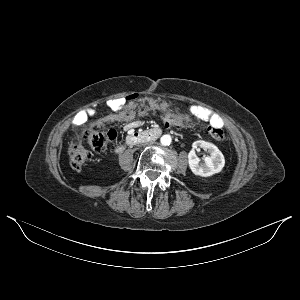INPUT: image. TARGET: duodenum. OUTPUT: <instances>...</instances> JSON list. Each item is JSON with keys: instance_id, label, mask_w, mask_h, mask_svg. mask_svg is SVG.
I'll list each match as a JSON object with an SVG mask.
<instances>
[{"instance_id": "410a0bca", "label": "duodenum", "mask_w": 300, "mask_h": 300, "mask_svg": "<svg viewBox=\"0 0 300 300\" xmlns=\"http://www.w3.org/2000/svg\"><path fill=\"white\" fill-rule=\"evenodd\" d=\"M160 135L161 131L158 128H153L143 132H132L126 137L123 145L116 147L114 152L118 153L124 146L134 145L138 142H142L143 140L156 139Z\"/></svg>"}]
</instances>
